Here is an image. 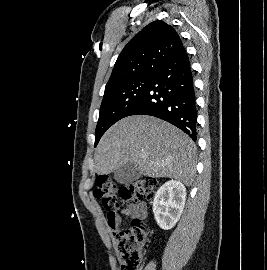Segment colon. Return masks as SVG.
<instances>
[{
	"label": "colon",
	"instance_id": "obj_1",
	"mask_svg": "<svg viewBox=\"0 0 267 270\" xmlns=\"http://www.w3.org/2000/svg\"><path fill=\"white\" fill-rule=\"evenodd\" d=\"M159 182L150 177L117 186L106 176L95 180L94 195L100 200L108 214L114 215L121 203H139L153 199ZM115 243L121 263V270H140L147 250V229L142 220L134 219L129 229L118 231Z\"/></svg>",
	"mask_w": 267,
	"mask_h": 270
}]
</instances>
